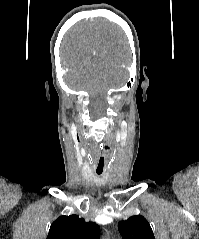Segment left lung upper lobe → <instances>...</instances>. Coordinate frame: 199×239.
Masks as SVG:
<instances>
[{"instance_id":"5c2ea615","label":"left lung upper lobe","mask_w":199,"mask_h":239,"mask_svg":"<svg viewBox=\"0 0 199 239\" xmlns=\"http://www.w3.org/2000/svg\"><path fill=\"white\" fill-rule=\"evenodd\" d=\"M118 229L123 239H155L153 231L142 216H132L118 223Z\"/></svg>"}]
</instances>
